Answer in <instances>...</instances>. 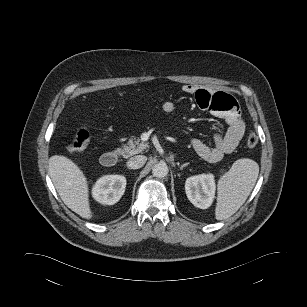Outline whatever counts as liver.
<instances>
[{"label":"liver","mask_w":307,"mask_h":307,"mask_svg":"<svg viewBox=\"0 0 307 307\" xmlns=\"http://www.w3.org/2000/svg\"><path fill=\"white\" fill-rule=\"evenodd\" d=\"M49 175L64 204L85 219L92 218L88 184L82 170L69 158H49Z\"/></svg>","instance_id":"1"}]
</instances>
